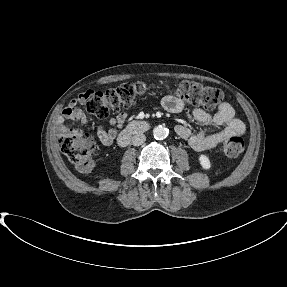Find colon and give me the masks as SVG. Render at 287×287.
<instances>
[{"label": "colon", "instance_id": "5ec220e1", "mask_svg": "<svg viewBox=\"0 0 287 287\" xmlns=\"http://www.w3.org/2000/svg\"><path fill=\"white\" fill-rule=\"evenodd\" d=\"M157 89L170 91L181 100L208 109L218 107L225 100L224 93L220 89L199 83L183 81L172 86L164 82L146 83L138 81L91 94L86 102V109L92 115L105 117L111 110L131 107L137 99ZM59 147L78 171L87 173L93 168L97 152L94 136L91 132L73 130L66 133L61 136ZM243 150L244 142L238 135L229 137L221 146L223 154L231 159L239 157Z\"/></svg>", "mask_w": 287, "mask_h": 287}]
</instances>
